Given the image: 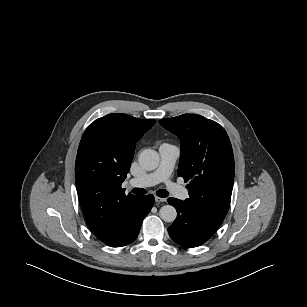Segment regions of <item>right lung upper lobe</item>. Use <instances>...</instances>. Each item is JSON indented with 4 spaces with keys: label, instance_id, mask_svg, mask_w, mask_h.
<instances>
[{
    "label": "right lung upper lobe",
    "instance_id": "obj_1",
    "mask_svg": "<svg viewBox=\"0 0 307 307\" xmlns=\"http://www.w3.org/2000/svg\"><path fill=\"white\" fill-rule=\"evenodd\" d=\"M123 113L95 120L79 144L75 182L88 226L107 245L129 231L142 205V196L125 194V180L136 142L155 124Z\"/></svg>",
    "mask_w": 307,
    "mask_h": 307
}]
</instances>
